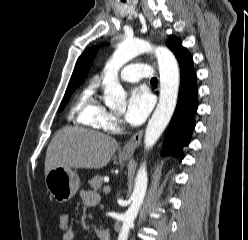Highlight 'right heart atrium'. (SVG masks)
Wrapping results in <instances>:
<instances>
[{"instance_id": "obj_1", "label": "right heart atrium", "mask_w": 248, "mask_h": 240, "mask_svg": "<svg viewBox=\"0 0 248 240\" xmlns=\"http://www.w3.org/2000/svg\"><path fill=\"white\" fill-rule=\"evenodd\" d=\"M100 126L101 128L112 131L116 130L120 124V119L117 115L105 111L100 118Z\"/></svg>"}]
</instances>
